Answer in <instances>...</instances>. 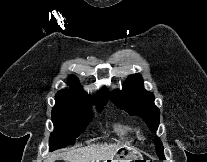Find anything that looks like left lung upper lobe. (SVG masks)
Here are the masks:
<instances>
[{
	"label": "left lung upper lobe",
	"mask_w": 207,
	"mask_h": 162,
	"mask_svg": "<svg viewBox=\"0 0 207 162\" xmlns=\"http://www.w3.org/2000/svg\"><path fill=\"white\" fill-rule=\"evenodd\" d=\"M111 101L130 115L142 116L151 131H157L160 111L154 104V95L143 88L140 75L129 76L121 91L112 92ZM155 146L157 155L165 160L162 143L157 137Z\"/></svg>",
	"instance_id": "left-lung-upper-lobe-1"
}]
</instances>
